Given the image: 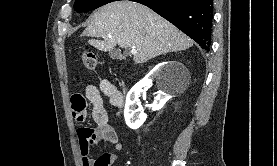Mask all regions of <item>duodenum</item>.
Listing matches in <instances>:
<instances>
[{
    "label": "duodenum",
    "instance_id": "410a0bca",
    "mask_svg": "<svg viewBox=\"0 0 277 166\" xmlns=\"http://www.w3.org/2000/svg\"><path fill=\"white\" fill-rule=\"evenodd\" d=\"M120 95H121L122 100L124 101V93H120Z\"/></svg>",
    "mask_w": 277,
    "mask_h": 166
}]
</instances>
